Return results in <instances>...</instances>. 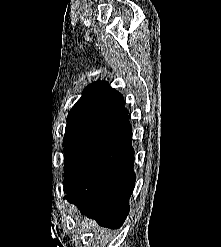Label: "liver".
<instances>
[{
  "mask_svg": "<svg viewBox=\"0 0 221 247\" xmlns=\"http://www.w3.org/2000/svg\"><path fill=\"white\" fill-rule=\"evenodd\" d=\"M83 224L85 226H87L88 229L96 230V228H97V224L92 220H89V221L85 220V222H83Z\"/></svg>",
  "mask_w": 221,
  "mask_h": 247,
  "instance_id": "liver-1",
  "label": "liver"
}]
</instances>
